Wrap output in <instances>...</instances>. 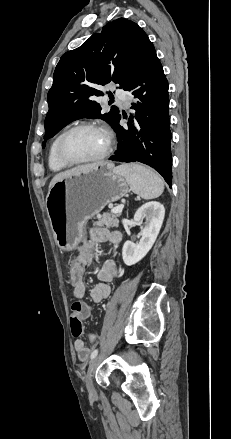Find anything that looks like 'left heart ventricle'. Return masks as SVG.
Returning <instances> with one entry per match:
<instances>
[{
  "instance_id": "obj_1",
  "label": "left heart ventricle",
  "mask_w": 231,
  "mask_h": 439,
  "mask_svg": "<svg viewBox=\"0 0 231 439\" xmlns=\"http://www.w3.org/2000/svg\"><path fill=\"white\" fill-rule=\"evenodd\" d=\"M107 143L106 135L97 129H81L68 136L66 153L73 159H89L101 154Z\"/></svg>"
}]
</instances>
